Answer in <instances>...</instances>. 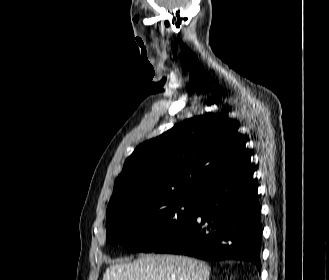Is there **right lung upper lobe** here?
<instances>
[{
    "label": "right lung upper lobe",
    "instance_id": "obj_1",
    "mask_svg": "<svg viewBox=\"0 0 329 280\" xmlns=\"http://www.w3.org/2000/svg\"><path fill=\"white\" fill-rule=\"evenodd\" d=\"M232 119L205 113L146 141L126 159L108 207L148 196L200 197L251 158Z\"/></svg>",
    "mask_w": 329,
    "mask_h": 280
}]
</instances>
